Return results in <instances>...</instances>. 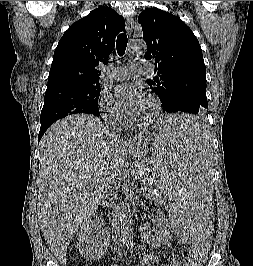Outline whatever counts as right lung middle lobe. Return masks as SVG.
Instances as JSON below:
<instances>
[{
    "mask_svg": "<svg viewBox=\"0 0 253 266\" xmlns=\"http://www.w3.org/2000/svg\"><path fill=\"white\" fill-rule=\"evenodd\" d=\"M100 91L99 83L68 85L46 90L40 117L41 127H49L58 119L71 114L90 113L98 115Z\"/></svg>",
    "mask_w": 253,
    "mask_h": 266,
    "instance_id": "dd1d6c3e",
    "label": "right lung middle lobe"
}]
</instances>
